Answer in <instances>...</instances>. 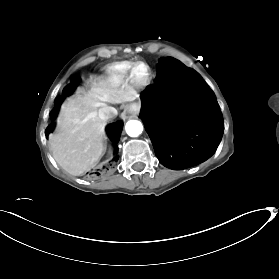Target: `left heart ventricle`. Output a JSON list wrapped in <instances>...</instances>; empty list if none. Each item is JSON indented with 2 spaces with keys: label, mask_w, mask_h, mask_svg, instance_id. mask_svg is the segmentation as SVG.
I'll return each mask as SVG.
<instances>
[{
  "label": "left heart ventricle",
  "mask_w": 279,
  "mask_h": 279,
  "mask_svg": "<svg viewBox=\"0 0 279 279\" xmlns=\"http://www.w3.org/2000/svg\"><path fill=\"white\" fill-rule=\"evenodd\" d=\"M146 73H147L146 67H144V66H138L137 67V69H136L137 76L143 77V76L146 75Z\"/></svg>",
  "instance_id": "1"
}]
</instances>
